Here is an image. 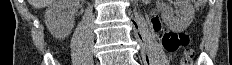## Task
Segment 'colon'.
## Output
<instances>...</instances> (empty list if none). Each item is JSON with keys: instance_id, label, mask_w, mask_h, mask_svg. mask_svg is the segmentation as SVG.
<instances>
[{"instance_id": "obj_1", "label": "colon", "mask_w": 232, "mask_h": 65, "mask_svg": "<svg viewBox=\"0 0 232 65\" xmlns=\"http://www.w3.org/2000/svg\"><path fill=\"white\" fill-rule=\"evenodd\" d=\"M197 7L204 5L206 0H195L194 1ZM189 44V37L184 33H172L167 32L162 38V45L164 49L169 53H176L178 50L187 47ZM192 54L187 52L186 57L182 60V65H191L192 63Z\"/></svg>"}]
</instances>
